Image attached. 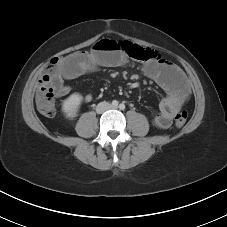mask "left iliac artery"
I'll list each match as a JSON object with an SVG mask.
<instances>
[{
  "mask_svg": "<svg viewBox=\"0 0 227 227\" xmlns=\"http://www.w3.org/2000/svg\"><path fill=\"white\" fill-rule=\"evenodd\" d=\"M119 108H120L121 110H124V109H125V104L121 103V104L119 105Z\"/></svg>",
  "mask_w": 227,
  "mask_h": 227,
  "instance_id": "1",
  "label": "left iliac artery"
}]
</instances>
